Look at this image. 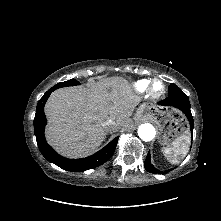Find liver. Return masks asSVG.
I'll return each instance as SVG.
<instances>
[{
  "mask_svg": "<svg viewBox=\"0 0 221 221\" xmlns=\"http://www.w3.org/2000/svg\"><path fill=\"white\" fill-rule=\"evenodd\" d=\"M140 100L128 81L121 77L103 79L87 88L57 89L45 105L46 138L64 156H88L105 140L107 131L103 123L106 120L112 119L118 129L132 127L130 117Z\"/></svg>",
  "mask_w": 221,
  "mask_h": 221,
  "instance_id": "obj_1",
  "label": "liver"
}]
</instances>
